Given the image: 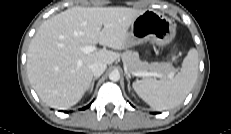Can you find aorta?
Masks as SVG:
<instances>
[{
  "mask_svg": "<svg viewBox=\"0 0 231 134\" xmlns=\"http://www.w3.org/2000/svg\"><path fill=\"white\" fill-rule=\"evenodd\" d=\"M109 79L114 82L118 81L120 79V73L118 71L110 72Z\"/></svg>",
  "mask_w": 231,
  "mask_h": 134,
  "instance_id": "obj_1",
  "label": "aorta"
}]
</instances>
